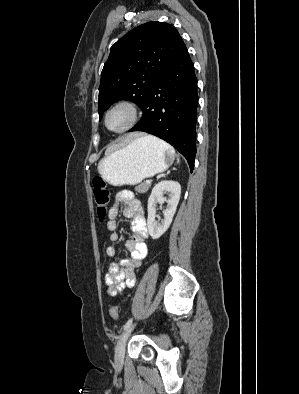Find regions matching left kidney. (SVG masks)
<instances>
[{"instance_id":"5707ae66","label":"left kidney","mask_w":299,"mask_h":394,"mask_svg":"<svg viewBox=\"0 0 299 394\" xmlns=\"http://www.w3.org/2000/svg\"><path fill=\"white\" fill-rule=\"evenodd\" d=\"M169 193V199L164 197ZM181 195V185L176 181H161L154 186L148 199V231L152 239L160 238L169 228ZM167 202V208L164 213V220L159 224L156 220L157 203Z\"/></svg>"}]
</instances>
